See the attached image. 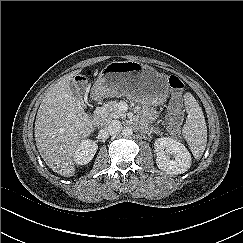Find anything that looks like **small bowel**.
I'll list each match as a JSON object with an SVG mask.
<instances>
[{
    "mask_svg": "<svg viewBox=\"0 0 243 243\" xmlns=\"http://www.w3.org/2000/svg\"><path fill=\"white\" fill-rule=\"evenodd\" d=\"M145 114H146L147 116H151V115H152V111L149 110V109H147V110L145 111ZM141 127H142L143 129L145 128V124H144V122H142Z\"/></svg>",
    "mask_w": 243,
    "mask_h": 243,
    "instance_id": "obj_1",
    "label": "small bowel"
}]
</instances>
